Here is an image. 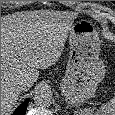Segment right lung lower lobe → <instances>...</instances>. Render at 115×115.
Segmentation results:
<instances>
[{"label": "right lung lower lobe", "mask_w": 115, "mask_h": 115, "mask_svg": "<svg viewBox=\"0 0 115 115\" xmlns=\"http://www.w3.org/2000/svg\"><path fill=\"white\" fill-rule=\"evenodd\" d=\"M29 102V99H26L12 115H25L26 107Z\"/></svg>", "instance_id": "right-lung-lower-lobe-1"}]
</instances>
